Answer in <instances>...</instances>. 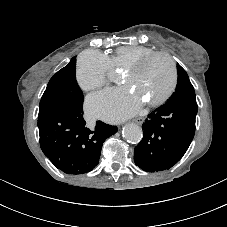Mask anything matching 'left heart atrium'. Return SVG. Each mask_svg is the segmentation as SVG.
Returning a JSON list of instances; mask_svg holds the SVG:
<instances>
[{"label": "left heart atrium", "instance_id": "obj_1", "mask_svg": "<svg viewBox=\"0 0 227 227\" xmlns=\"http://www.w3.org/2000/svg\"><path fill=\"white\" fill-rule=\"evenodd\" d=\"M142 106V100L127 88L107 89L91 95L86 101L87 111L96 117L118 122L134 115Z\"/></svg>", "mask_w": 227, "mask_h": 227}]
</instances>
